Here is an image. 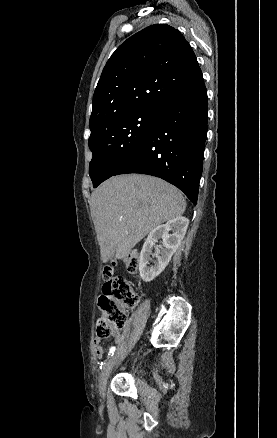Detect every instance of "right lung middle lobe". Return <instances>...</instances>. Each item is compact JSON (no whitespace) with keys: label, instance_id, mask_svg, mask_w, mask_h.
<instances>
[{"label":"right lung middle lobe","instance_id":"obj_1","mask_svg":"<svg viewBox=\"0 0 277 438\" xmlns=\"http://www.w3.org/2000/svg\"><path fill=\"white\" fill-rule=\"evenodd\" d=\"M157 112L158 108L142 109L135 113L113 116L90 126L88 145L93 158L89 174L94 187L113 176L141 145Z\"/></svg>","mask_w":277,"mask_h":438}]
</instances>
